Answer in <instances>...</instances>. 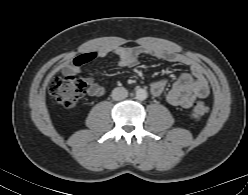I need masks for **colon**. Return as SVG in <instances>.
I'll return each instance as SVG.
<instances>
[{
  "label": "colon",
  "mask_w": 248,
  "mask_h": 195,
  "mask_svg": "<svg viewBox=\"0 0 248 195\" xmlns=\"http://www.w3.org/2000/svg\"><path fill=\"white\" fill-rule=\"evenodd\" d=\"M85 89V82L73 75L55 77L49 86L50 94L64 108L74 107L84 95ZM207 111L208 106L206 103L202 100H197L193 103L191 117L193 119H200Z\"/></svg>",
  "instance_id": "5ec220e1"
}]
</instances>
